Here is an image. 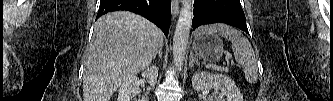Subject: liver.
<instances>
[{"label": "liver", "mask_w": 333, "mask_h": 101, "mask_svg": "<svg viewBox=\"0 0 333 101\" xmlns=\"http://www.w3.org/2000/svg\"><path fill=\"white\" fill-rule=\"evenodd\" d=\"M163 44L162 31L139 15L116 11L99 18L84 61V101H109L125 79L151 64Z\"/></svg>", "instance_id": "liver-1"}]
</instances>
